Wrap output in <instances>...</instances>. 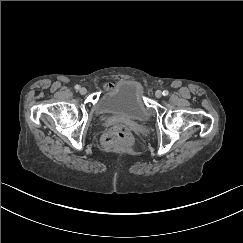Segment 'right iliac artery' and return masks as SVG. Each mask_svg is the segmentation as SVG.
Wrapping results in <instances>:
<instances>
[{
	"label": "right iliac artery",
	"mask_w": 243,
	"mask_h": 243,
	"mask_svg": "<svg viewBox=\"0 0 243 243\" xmlns=\"http://www.w3.org/2000/svg\"><path fill=\"white\" fill-rule=\"evenodd\" d=\"M75 89H76V90H79V89H80V86H79V85H76V86H75Z\"/></svg>",
	"instance_id": "right-iliac-artery-1"
}]
</instances>
